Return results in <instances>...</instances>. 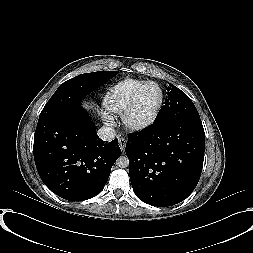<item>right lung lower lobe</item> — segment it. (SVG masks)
I'll return each instance as SVG.
<instances>
[{
    "instance_id": "1",
    "label": "right lung lower lobe",
    "mask_w": 253,
    "mask_h": 253,
    "mask_svg": "<svg viewBox=\"0 0 253 253\" xmlns=\"http://www.w3.org/2000/svg\"><path fill=\"white\" fill-rule=\"evenodd\" d=\"M34 160L44 184L69 201H83L104 188L121 155L118 140L102 141L87 111L74 105L38 120Z\"/></svg>"
}]
</instances>
